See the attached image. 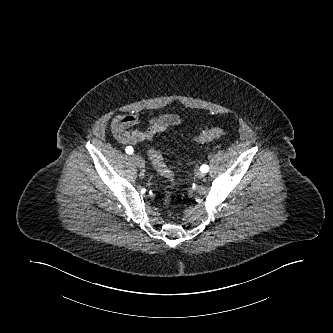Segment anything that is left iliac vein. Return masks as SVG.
<instances>
[{"instance_id":"1","label":"left iliac vein","mask_w":333,"mask_h":333,"mask_svg":"<svg viewBox=\"0 0 333 333\" xmlns=\"http://www.w3.org/2000/svg\"><path fill=\"white\" fill-rule=\"evenodd\" d=\"M195 174L198 179H202L205 176L204 173L201 172L199 169L196 171Z\"/></svg>"}]
</instances>
